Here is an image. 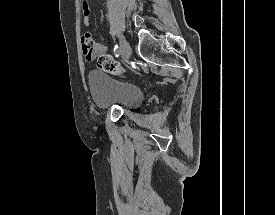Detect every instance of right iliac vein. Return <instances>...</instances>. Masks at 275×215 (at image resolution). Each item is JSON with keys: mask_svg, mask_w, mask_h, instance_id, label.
<instances>
[{"mask_svg": "<svg viewBox=\"0 0 275 215\" xmlns=\"http://www.w3.org/2000/svg\"><path fill=\"white\" fill-rule=\"evenodd\" d=\"M120 45H121V49H122V56L125 59H128L132 52L130 45L123 37L120 38Z\"/></svg>", "mask_w": 275, "mask_h": 215, "instance_id": "1", "label": "right iliac vein"}]
</instances>
